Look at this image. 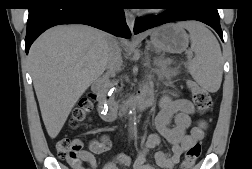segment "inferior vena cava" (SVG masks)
<instances>
[{
    "instance_id": "inferior-vena-cava-1",
    "label": "inferior vena cava",
    "mask_w": 252,
    "mask_h": 169,
    "mask_svg": "<svg viewBox=\"0 0 252 169\" xmlns=\"http://www.w3.org/2000/svg\"><path fill=\"white\" fill-rule=\"evenodd\" d=\"M122 57L121 49L118 45L117 40L112 39L107 46V76H115V74L121 69Z\"/></svg>"
}]
</instances>
